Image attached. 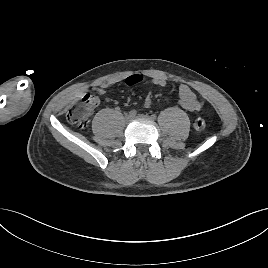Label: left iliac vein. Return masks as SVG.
<instances>
[{"label":"left iliac vein","mask_w":268,"mask_h":268,"mask_svg":"<svg viewBox=\"0 0 268 268\" xmlns=\"http://www.w3.org/2000/svg\"><path fill=\"white\" fill-rule=\"evenodd\" d=\"M137 117L138 118H143V119H152L151 117H149L147 115H142V114H139Z\"/></svg>","instance_id":"left-iliac-vein-1"}]
</instances>
